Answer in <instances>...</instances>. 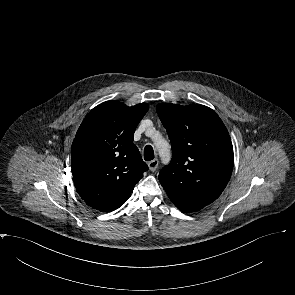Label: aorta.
<instances>
[{
    "label": "aorta",
    "instance_id": "762f6f07",
    "mask_svg": "<svg viewBox=\"0 0 295 295\" xmlns=\"http://www.w3.org/2000/svg\"><path fill=\"white\" fill-rule=\"evenodd\" d=\"M155 146L157 147L158 152L163 159H165V160L169 159L170 146H169V143L165 139L159 138L155 142Z\"/></svg>",
    "mask_w": 295,
    "mask_h": 295
}]
</instances>
